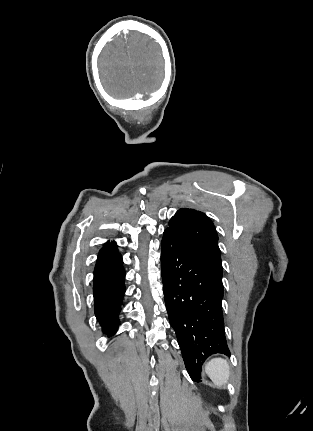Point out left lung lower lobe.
Wrapping results in <instances>:
<instances>
[{"instance_id": "1", "label": "left lung lower lobe", "mask_w": 313, "mask_h": 431, "mask_svg": "<svg viewBox=\"0 0 313 431\" xmlns=\"http://www.w3.org/2000/svg\"><path fill=\"white\" fill-rule=\"evenodd\" d=\"M161 249L169 322L191 379L200 382L202 364L210 355L230 356L221 306L222 269L166 231Z\"/></svg>"}]
</instances>
